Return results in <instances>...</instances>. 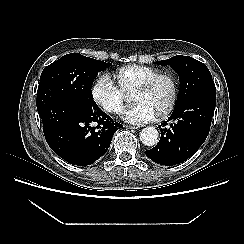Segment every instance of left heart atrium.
<instances>
[{
    "instance_id": "obj_1",
    "label": "left heart atrium",
    "mask_w": 244,
    "mask_h": 244,
    "mask_svg": "<svg viewBox=\"0 0 244 244\" xmlns=\"http://www.w3.org/2000/svg\"><path fill=\"white\" fill-rule=\"evenodd\" d=\"M121 114L125 121L136 125L152 121L156 116L154 110L144 103L134 104Z\"/></svg>"
}]
</instances>
